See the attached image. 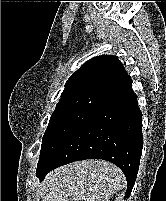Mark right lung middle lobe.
<instances>
[{
  "mask_svg": "<svg viewBox=\"0 0 166 201\" xmlns=\"http://www.w3.org/2000/svg\"><path fill=\"white\" fill-rule=\"evenodd\" d=\"M103 96H86L57 104L42 140L37 171L43 168L58 147L103 102Z\"/></svg>",
  "mask_w": 166,
  "mask_h": 201,
  "instance_id": "dd1d6c3e",
  "label": "right lung middle lobe"
}]
</instances>
